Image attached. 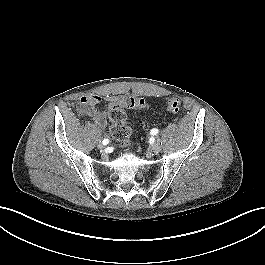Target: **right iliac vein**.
Instances as JSON below:
<instances>
[{
  "label": "right iliac vein",
  "instance_id": "obj_1",
  "mask_svg": "<svg viewBox=\"0 0 265 265\" xmlns=\"http://www.w3.org/2000/svg\"><path fill=\"white\" fill-rule=\"evenodd\" d=\"M97 147H98L99 149H103V148H104V145H103L101 142H98V143H97Z\"/></svg>",
  "mask_w": 265,
  "mask_h": 265
}]
</instances>
